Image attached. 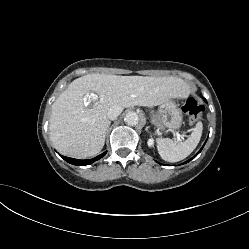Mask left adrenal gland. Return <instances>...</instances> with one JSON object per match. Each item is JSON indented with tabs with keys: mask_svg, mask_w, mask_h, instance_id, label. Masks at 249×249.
<instances>
[{
	"mask_svg": "<svg viewBox=\"0 0 249 249\" xmlns=\"http://www.w3.org/2000/svg\"><path fill=\"white\" fill-rule=\"evenodd\" d=\"M148 129H149V126H147L145 130L148 131Z\"/></svg>",
	"mask_w": 249,
	"mask_h": 249,
	"instance_id": "obj_1",
	"label": "left adrenal gland"
}]
</instances>
